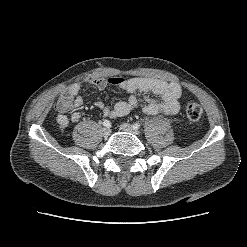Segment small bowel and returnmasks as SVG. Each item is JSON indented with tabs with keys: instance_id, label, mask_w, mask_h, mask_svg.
<instances>
[{
	"instance_id": "1",
	"label": "small bowel",
	"mask_w": 247,
	"mask_h": 247,
	"mask_svg": "<svg viewBox=\"0 0 247 247\" xmlns=\"http://www.w3.org/2000/svg\"><path fill=\"white\" fill-rule=\"evenodd\" d=\"M90 83L100 90L109 85L118 86L130 94L126 100L117 102L113 107L102 101L94 103L97 108L102 110L104 116L109 118L123 117L134 110L138 105V99L135 95L137 92L156 94L160 98L156 100L145 97L146 104L143 107L145 114L172 116L177 114L180 109L179 99L182 90L176 82L148 77L123 78L115 76L93 78ZM80 91L81 84L73 83L59 96L55 104L57 111L55 121L60 127L65 128L70 121L76 123L81 119V113L77 111L73 112L70 117L66 115L73 108H79L87 103V100L80 95Z\"/></svg>"
}]
</instances>
